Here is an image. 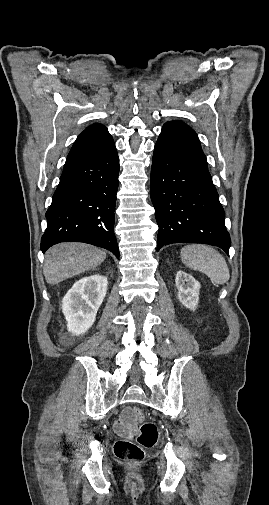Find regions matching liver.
Wrapping results in <instances>:
<instances>
[{
  "label": "liver",
  "mask_w": 269,
  "mask_h": 505,
  "mask_svg": "<svg viewBox=\"0 0 269 505\" xmlns=\"http://www.w3.org/2000/svg\"><path fill=\"white\" fill-rule=\"evenodd\" d=\"M106 253L85 243H60L45 255L43 273L48 284H57L67 278L98 267Z\"/></svg>",
  "instance_id": "6515ba94"
}]
</instances>
